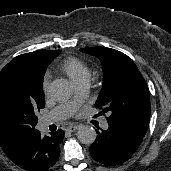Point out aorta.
Returning a JSON list of instances; mask_svg holds the SVG:
<instances>
[{
    "label": "aorta",
    "mask_w": 171,
    "mask_h": 171,
    "mask_svg": "<svg viewBox=\"0 0 171 171\" xmlns=\"http://www.w3.org/2000/svg\"><path fill=\"white\" fill-rule=\"evenodd\" d=\"M73 91L72 84L66 79H56L49 86L50 95L56 100L67 99ZM96 131L92 126H82L77 131V138L83 144H92L96 139Z\"/></svg>",
    "instance_id": "1"
}]
</instances>
